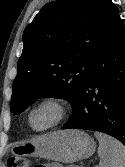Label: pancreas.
<instances>
[{
	"instance_id": "1",
	"label": "pancreas",
	"mask_w": 125,
	"mask_h": 167,
	"mask_svg": "<svg viewBox=\"0 0 125 167\" xmlns=\"http://www.w3.org/2000/svg\"><path fill=\"white\" fill-rule=\"evenodd\" d=\"M66 167H80V166H76V165H69V166H66Z\"/></svg>"
}]
</instances>
